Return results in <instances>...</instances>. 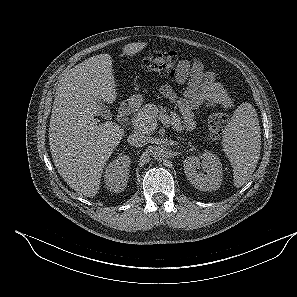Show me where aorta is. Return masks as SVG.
I'll use <instances>...</instances> for the list:
<instances>
[{"mask_svg":"<svg viewBox=\"0 0 297 297\" xmlns=\"http://www.w3.org/2000/svg\"><path fill=\"white\" fill-rule=\"evenodd\" d=\"M152 156L156 160H163L168 156V149L164 146H156L152 151Z\"/></svg>","mask_w":297,"mask_h":297,"instance_id":"aorta-1","label":"aorta"}]
</instances>
